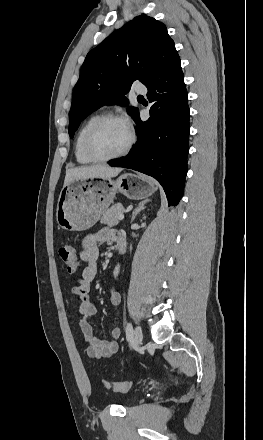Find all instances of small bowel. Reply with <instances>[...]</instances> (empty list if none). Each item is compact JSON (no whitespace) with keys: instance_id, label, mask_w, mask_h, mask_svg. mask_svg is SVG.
Listing matches in <instances>:
<instances>
[{"instance_id":"1","label":"small bowel","mask_w":263,"mask_h":440,"mask_svg":"<svg viewBox=\"0 0 263 440\" xmlns=\"http://www.w3.org/2000/svg\"><path fill=\"white\" fill-rule=\"evenodd\" d=\"M122 241H124V238L121 232L104 228L85 237L82 242V249L79 252V257L86 263V266L81 276L76 279L72 294L79 301L80 317L77 322L83 334V341L87 344L86 354L89 358L95 360L108 358L118 350L117 340L121 335V330L119 327H114L108 339H99L95 336L90 320L95 317L97 310L90 300V284L95 279L98 271L99 245L104 242H112L118 245ZM118 273L119 269L116 268L114 275L117 276ZM110 302L115 307L119 306L121 303L120 294L112 291Z\"/></svg>"}]
</instances>
